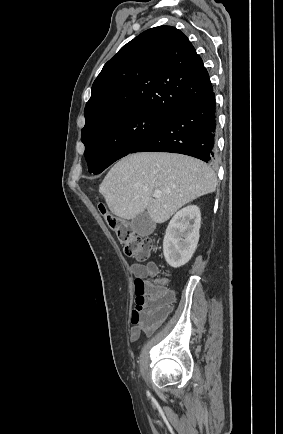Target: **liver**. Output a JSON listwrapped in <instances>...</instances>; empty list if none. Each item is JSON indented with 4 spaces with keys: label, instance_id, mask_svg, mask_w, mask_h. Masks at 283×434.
I'll return each mask as SVG.
<instances>
[{
    "label": "liver",
    "instance_id": "liver-1",
    "mask_svg": "<svg viewBox=\"0 0 283 434\" xmlns=\"http://www.w3.org/2000/svg\"><path fill=\"white\" fill-rule=\"evenodd\" d=\"M217 178L204 162L182 154L141 152L119 160L99 191L109 210L130 220L147 210L154 223L166 222L179 208L216 189ZM161 191L155 198L154 192Z\"/></svg>",
    "mask_w": 283,
    "mask_h": 434
}]
</instances>
